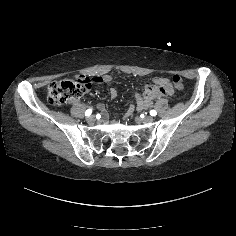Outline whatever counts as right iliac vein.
<instances>
[{"label": "right iliac vein", "mask_w": 236, "mask_h": 236, "mask_svg": "<svg viewBox=\"0 0 236 236\" xmlns=\"http://www.w3.org/2000/svg\"><path fill=\"white\" fill-rule=\"evenodd\" d=\"M94 121H95V117L93 115H91L87 118L88 123H93Z\"/></svg>", "instance_id": "63e3f726"}]
</instances>
